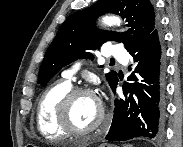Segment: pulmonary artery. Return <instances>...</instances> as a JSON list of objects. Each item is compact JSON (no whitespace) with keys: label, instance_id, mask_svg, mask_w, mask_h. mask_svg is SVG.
I'll return each instance as SVG.
<instances>
[{"label":"pulmonary artery","instance_id":"1","mask_svg":"<svg viewBox=\"0 0 183 147\" xmlns=\"http://www.w3.org/2000/svg\"><path fill=\"white\" fill-rule=\"evenodd\" d=\"M107 49H108V54L105 55L106 57H114L118 60H121L127 56L126 51L119 45H111ZM79 66H80V63L74 64L71 68L65 70L62 73V76L69 82L72 80H75V75Z\"/></svg>","mask_w":183,"mask_h":147}]
</instances>
